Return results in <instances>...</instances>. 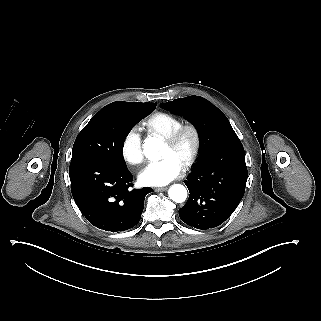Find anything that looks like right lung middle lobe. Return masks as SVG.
Wrapping results in <instances>:
<instances>
[{
    "label": "right lung middle lobe",
    "mask_w": 321,
    "mask_h": 321,
    "mask_svg": "<svg viewBox=\"0 0 321 321\" xmlns=\"http://www.w3.org/2000/svg\"><path fill=\"white\" fill-rule=\"evenodd\" d=\"M155 108L145 106L129 112L115 102L103 107L78 134L73 145L72 160L97 159L126 167L124 141L131 129Z\"/></svg>",
    "instance_id": "obj_1"
}]
</instances>
